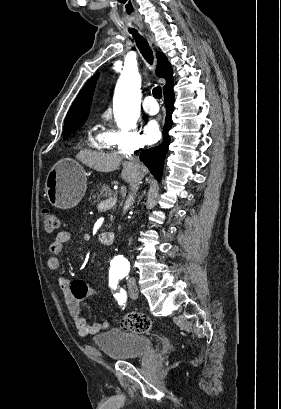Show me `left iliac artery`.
Returning a JSON list of instances; mask_svg holds the SVG:
<instances>
[{
    "mask_svg": "<svg viewBox=\"0 0 281 409\" xmlns=\"http://www.w3.org/2000/svg\"><path fill=\"white\" fill-rule=\"evenodd\" d=\"M118 280V278H110L109 286L115 291L114 297L118 301V304L122 306L126 302L127 295L125 290L118 286Z\"/></svg>",
    "mask_w": 281,
    "mask_h": 409,
    "instance_id": "1",
    "label": "left iliac artery"
}]
</instances>
